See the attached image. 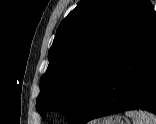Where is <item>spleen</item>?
Segmentation results:
<instances>
[{"label":"spleen","mask_w":156,"mask_h":124,"mask_svg":"<svg viewBox=\"0 0 156 124\" xmlns=\"http://www.w3.org/2000/svg\"><path fill=\"white\" fill-rule=\"evenodd\" d=\"M125 114L132 118L133 124H156V116L145 111H127Z\"/></svg>","instance_id":"1"}]
</instances>
